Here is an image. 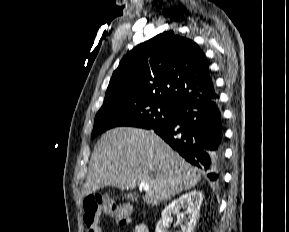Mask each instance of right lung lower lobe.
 Returning <instances> with one entry per match:
<instances>
[{"mask_svg": "<svg viewBox=\"0 0 289 232\" xmlns=\"http://www.w3.org/2000/svg\"><path fill=\"white\" fill-rule=\"evenodd\" d=\"M151 129L192 165L208 171L210 180L218 179L224 141L218 96L183 103L171 122Z\"/></svg>", "mask_w": 289, "mask_h": 232, "instance_id": "right-lung-lower-lobe-1", "label": "right lung lower lobe"}]
</instances>
